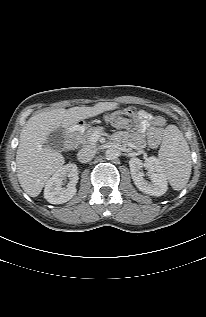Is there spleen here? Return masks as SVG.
<instances>
[{"mask_svg": "<svg viewBox=\"0 0 206 317\" xmlns=\"http://www.w3.org/2000/svg\"><path fill=\"white\" fill-rule=\"evenodd\" d=\"M158 160L165 176L174 190H182L191 174V157L187 141L175 125H168L164 130Z\"/></svg>", "mask_w": 206, "mask_h": 317, "instance_id": "spleen-1", "label": "spleen"}]
</instances>
